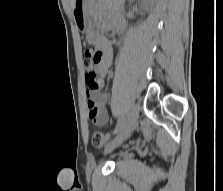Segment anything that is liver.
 <instances>
[{
	"instance_id": "6515ba94",
	"label": "liver",
	"mask_w": 223,
	"mask_h": 191,
	"mask_svg": "<svg viewBox=\"0 0 223 191\" xmlns=\"http://www.w3.org/2000/svg\"><path fill=\"white\" fill-rule=\"evenodd\" d=\"M74 2H75V0H70L72 8H73V5H74Z\"/></svg>"
}]
</instances>
